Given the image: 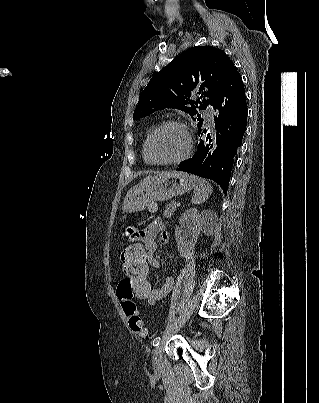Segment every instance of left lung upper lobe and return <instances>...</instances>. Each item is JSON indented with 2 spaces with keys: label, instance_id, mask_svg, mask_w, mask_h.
I'll return each instance as SVG.
<instances>
[{
  "label": "left lung upper lobe",
  "instance_id": "5c2ea615",
  "mask_svg": "<svg viewBox=\"0 0 319 403\" xmlns=\"http://www.w3.org/2000/svg\"><path fill=\"white\" fill-rule=\"evenodd\" d=\"M232 65L224 51L212 46L186 50L151 78L140 95L134 120L157 110L176 108L189 113L192 118L198 116L193 120L198 121L199 130L203 119L197 109L204 110L212 104ZM192 93L201 97L197 101L190 100Z\"/></svg>",
  "mask_w": 319,
  "mask_h": 403
}]
</instances>
